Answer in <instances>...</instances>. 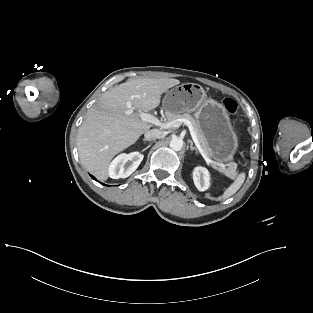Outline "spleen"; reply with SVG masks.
I'll use <instances>...</instances> for the list:
<instances>
[{"label":"spleen","instance_id":"1","mask_svg":"<svg viewBox=\"0 0 313 313\" xmlns=\"http://www.w3.org/2000/svg\"><path fill=\"white\" fill-rule=\"evenodd\" d=\"M245 180V173H240L234 182L224 191L223 195L218 197V200L227 199L234 195L242 186Z\"/></svg>","mask_w":313,"mask_h":313}]
</instances>
